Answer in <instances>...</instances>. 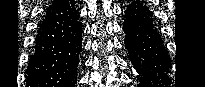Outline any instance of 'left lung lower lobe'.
<instances>
[{"label":"left lung lower lobe","instance_id":"0a47b994","mask_svg":"<svg viewBox=\"0 0 205 87\" xmlns=\"http://www.w3.org/2000/svg\"><path fill=\"white\" fill-rule=\"evenodd\" d=\"M123 31L128 57L139 73V87L167 85L171 59L153 13L144 1H132L127 5Z\"/></svg>","mask_w":205,"mask_h":87}]
</instances>
